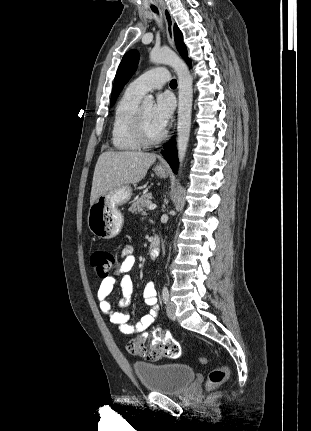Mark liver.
Returning <instances> with one entry per match:
<instances>
[{
    "instance_id": "1",
    "label": "liver",
    "mask_w": 311,
    "mask_h": 431,
    "mask_svg": "<svg viewBox=\"0 0 311 431\" xmlns=\"http://www.w3.org/2000/svg\"><path fill=\"white\" fill-rule=\"evenodd\" d=\"M156 160V154L144 152H103L93 174L90 206L101 194L116 186L139 184Z\"/></svg>"
}]
</instances>
